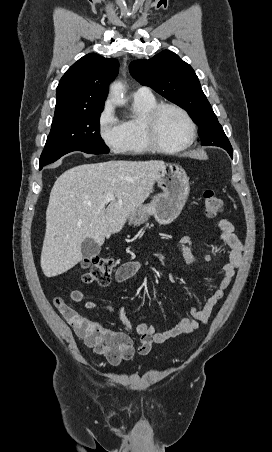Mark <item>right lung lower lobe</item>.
Returning <instances> with one entry per match:
<instances>
[{
	"instance_id": "obj_1",
	"label": "right lung lower lobe",
	"mask_w": 272,
	"mask_h": 452,
	"mask_svg": "<svg viewBox=\"0 0 272 452\" xmlns=\"http://www.w3.org/2000/svg\"><path fill=\"white\" fill-rule=\"evenodd\" d=\"M43 166H45V165H40L39 169H42V168H43Z\"/></svg>"
}]
</instances>
